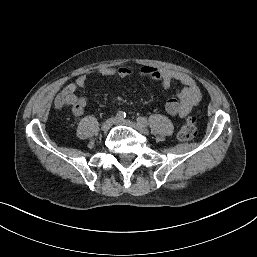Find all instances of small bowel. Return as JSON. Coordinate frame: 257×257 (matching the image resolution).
I'll return each instance as SVG.
<instances>
[{
  "mask_svg": "<svg viewBox=\"0 0 257 257\" xmlns=\"http://www.w3.org/2000/svg\"><path fill=\"white\" fill-rule=\"evenodd\" d=\"M93 74L111 78H131L143 77L160 82L162 88L167 91L174 82L183 86L176 94L172 95L166 102V111L169 115L178 118H185L196 106L202 97L200 88L193 77L190 75L169 69H157L151 66H142L136 73L129 67L109 68L103 67L93 71ZM88 81L87 74L79 75L75 81L69 83L63 93L70 94L75 100L76 107L72 108V114L75 117L82 115L84 108L88 103L86 96L76 97L75 92L84 88Z\"/></svg>",
  "mask_w": 257,
  "mask_h": 257,
  "instance_id": "c3829d8e",
  "label": "small bowel"
}]
</instances>
